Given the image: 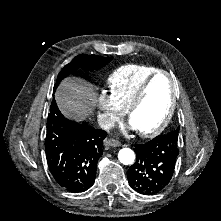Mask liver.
<instances>
[{
    "label": "liver",
    "instance_id": "obj_1",
    "mask_svg": "<svg viewBox=\"0 0 221 221\" xmlns=\"http://www.w3.org/2000/svg\"><path fill=\"white\" fill-rule=\"evenodd\" d=\"M55 99L61 112L76 121L91 115L97 102L92 85L80 78L63 80L55 93Z\"/></svg>",
    "mask_w": 221,
    "mask_h": 221
}]
</instances>
